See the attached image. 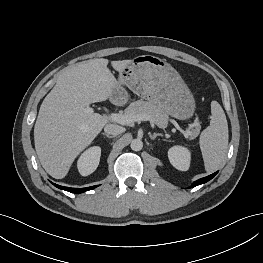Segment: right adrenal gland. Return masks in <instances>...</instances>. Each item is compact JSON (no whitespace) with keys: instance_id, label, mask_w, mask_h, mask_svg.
Returning a JSON list of instances; mask_svg holds the SVG:
<instances>
[{"instance_id":"1","label":"right adrenal gland","mask_w":263,"mask_h":263,"mask_svg":"<svg viewBox=\"0 0 263 263\" xmlns=\"http://www.w3.org/2000/svg\"><path fill=\"white\" fill-rule=\"evenodd\" d=\"M102 135H105V136L108 137V138H114V136H110V135L107 134V133H102Z\"/></svg>"}]
</instances>
